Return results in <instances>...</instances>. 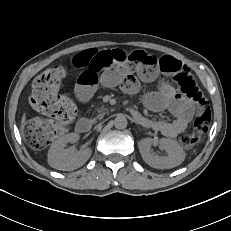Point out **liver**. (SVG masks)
<instances>
[{
    "label": "liver",
    "mask_w": 231,
    "mask_h": 231,
    "mask_svg": "<svg viewBox=\"0 0 231 231\" xmlns=\"http://www.w3.org/2000/svg\"><path fill=\"white\" fill-rule=\"evenodd\" d=\"M24 127H25V117L23 116L21 121V127H20L21 131H23Z\"/></svg>",
    "instance_id": "1"
}]
</instances>
